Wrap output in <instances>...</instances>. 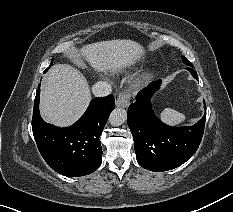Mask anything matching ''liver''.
<instances>
[{"label":"liver","mask_w":233,"mask_h":212,"mask_svg":"<svg viewBox=\"0 0 233 212\" xmlns=\"http://www.w3.org/2000/svg\"><path fill=\"white\" fill-rule=\"evenodd\" d=\"M144 48L133 40L116 39L87 44L75 51L76 59H85L95 70L116 72L133 65ZM91 100L86 78L74 67L55 64L42 80L40 113L43 119L65 127L78 120Z\"/></svg>","instance_id":"1"}]
</instances>
